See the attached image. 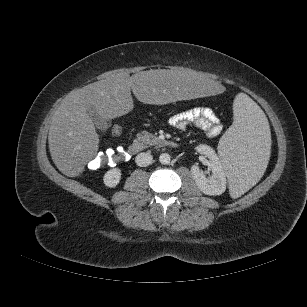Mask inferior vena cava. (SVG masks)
Segmentation results:
<instances>
[{"instance_id": "obj_1", "label": "inferior vena cava", "mask_w": 307, "mask_h": 307, "mask_svg": "<svg viewBox=\"0 0 307 307\" xmlns=\"http://www.w3.org/2000/svg\"><path fill=\"white\" fill-rule=\"evenodd\" d=\"M153 157L150 153H139L136 156L135 162L140 167H146L152 163Z\"/></svg>"}]
</instances>
